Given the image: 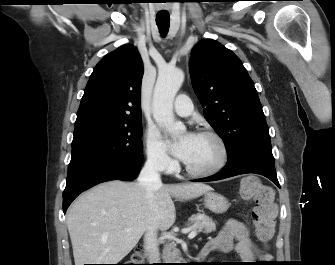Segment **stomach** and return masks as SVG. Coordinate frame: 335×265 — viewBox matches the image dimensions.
Returning <instances> with one entry per match:
<instances>
[{"instance_id": "obj_1", "label": "stomach", "mask_w": 335, "mask_h": 265, "mask_svg": "<svg viewBox=\"0 0 335 265\" xmlns=\"http://www.w3.org/2000/svg\"><path fill=\"white\" fill-rule=\"evenodd\" d=\"M204 202L206 208L216 214H222L229 208V202L227 198L216 192H206L204 196Z\"/></svg>"}]
</instances>
